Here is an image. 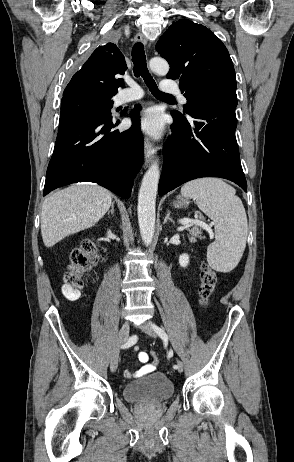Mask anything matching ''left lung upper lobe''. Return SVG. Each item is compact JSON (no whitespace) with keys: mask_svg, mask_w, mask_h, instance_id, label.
Returning <instances> with one entry per match:
<instances>
[{"mask_svg":"<svg viewBox=\"0 0 294 462\" xmlns=\"http://www.w3.org/2000/svg\"><path fill=\"white\" fill-rule=\"evenodd\" d=\"M156 50L170 64L167 78L180 79L187 99L184 112L192 114L212 101L236 99V77L225 45L208 28L183 19L173 23L160 37ZM171 114L186 118L178 111Z\"/></svg>","mask_w":294,"mask_h":462,"instance_id":"1","label":"left lung upper lobe"}]
</instances>
